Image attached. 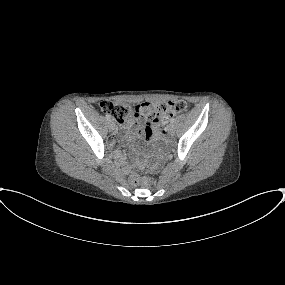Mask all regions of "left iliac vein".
<instances>
[{
    "label": "left iliac vein",
    "mask_w": 285,
    "mask_h": 285,
    "mask_svg": "<svg viewBox=\"0 0 285 285\" xmlns=\"http://www.w3.org/2000/svg\"><path fill=\"white\" fill-rule=\"evenodd\" d=\"M167 133L173 134L174 133V127L172 124L168 125L166 128Z\"/></svg>",
    "instance_id": "1"
}]
</instances>
